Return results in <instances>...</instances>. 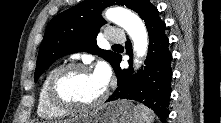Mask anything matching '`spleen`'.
Masks as SVG:
<instances>
[{
    "label": "spleen",
    "mask_w": 221,
    "mask_h": 123,
    "mask_svg": "<svg viewBox=\"0 0 221 123\" xmlns=\"http://www.w3.org/2000/svg\"><path fill=\"white\" fill-rule=\"evenodd\" d=\"M155 114L152 110L143 104L137 105V122L138 123H153Z\"/></svg>",
    "instance_id": "obj_1"
}]
</instances>
